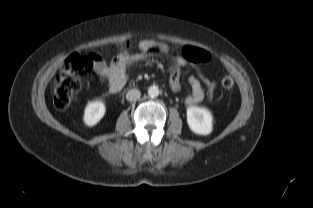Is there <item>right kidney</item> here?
<instances>
[{"mask_svg": "<svg viewBox=\"0 0 313 208\" xmlns=\"http://www.w3.org/2000/svg\"><path fill=\"white\" fill-rule=\"evenodd\" d=\"M106 111L105 105L101 101L89 103L84 111L83 121L87 126L96 125L104 116Z\"/></svg>", "mask_w": 313, "mask_h": 208, "instance_id": "right-kidney-1", "label": "right kidney"}]
</instances>
